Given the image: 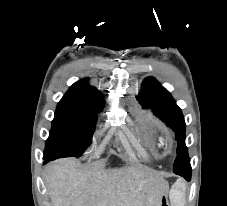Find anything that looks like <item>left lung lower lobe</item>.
Listing matches in <instances>:
<instances>
[{"mask_svg": "<svg viewBox=\"0 0 227 206\" xmlns=\"http://www.w3.org/2000/svg\"><path fill=\"white\" fill-rule=\"evenodd\" d=\"M174 173L184 177L187 181H190L191 179V170H178L174 171Z\"/></svg>", "mask_w": 227, "mask_h": 206, "instance_id": "0a47b994", "label": "left lung lower lobe"}]
</instances>
